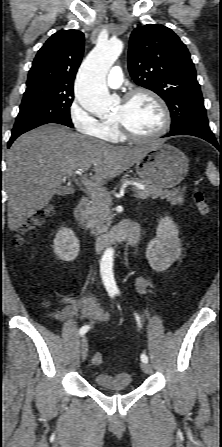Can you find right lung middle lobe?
I'll use <instances>...</instances> for the list:
<instances>
[{
  "mask_svg": "<svg viewBox=\"0 0 222 447\" xmlns=\"http://www.w3.org/2000/svg\"><path fill=\"white\" fill-rule=\"evenodd\" d=\"M74 98L71 89L40 85L27 88L16 118L12 135L47 123H70V106Z\"/></svg>",
  "mask_w": 222,
  "mask_h": 447,
  "instance_id": "dd1d6c3e",
  "label": "right lung middle lobe"
}]
</instances>
